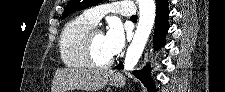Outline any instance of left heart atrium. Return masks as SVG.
I'll return each instance as SVG.
<instances>
[{"instance_id":"obj_1","label":"left heart atrium","mask_w":225,"mask_h":92,"mask_svg":"<svg viewBox=\"0 0 225 92\" xmlns=\"http://www.w3.org/2000/svg\"><path fill=\"white\" fill-rule=\"evenodd\" d=\"M105 42L111 57L120 53L124 46V31L117 21L112 22L105 34Z\"/></svg>"}]
</instances>
